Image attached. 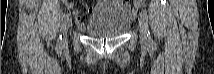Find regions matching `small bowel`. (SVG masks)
<instances>
[{
    "instance_id": "obj_1",
    "label": "small bowel",
    "mask_w": 214,
    "mask_h": 74,
    "mask_svg": "<svg viewBox=\"0 0 214 74\" xmlns=\"http://www.w3.org/2000/svg\"><path fill=\"white\" fill-rule=\"evenodd\" d=\"M139 6L140 5H136L135 8H132L128 3H125L124 5H122L121 2L119 1H99L96 7L84 5V9L88 13L93 14L98 11L106 10L108 8L122 7L130 17H135L137 14V8ZM68 7L70 8L71 6H68ZM73 15L75 17V22L77 27L80 30L85 31V22L83 20L82 11L79 9H76L73 11Z\"/></svg>"
}]
</instances>
